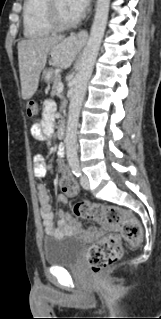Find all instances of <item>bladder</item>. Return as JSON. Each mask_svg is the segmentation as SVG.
<instances>
[{
  "label": "bladder",
  "instance_id": "31cf9c89",
  "mask_svg": "<svg viewBox=\"0 0 161 319\" xmlns=\"http://www.w3.org/2000/svg\"><path fill=\"white\" fill-rule=\"evenodd\" d=\"M85 244L75 236H45L43 241L44 263L49 266L74 265L82 256Z\"/></svg>",
  "mask_w": 161,
  "mask_h": 319
}]
</instances>
